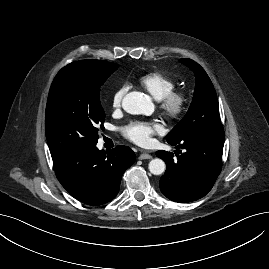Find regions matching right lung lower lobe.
I'll return each mask as SVG.
<instances>
[{"mask_svg":"<svg viewBox=\"0 0 269 269\" xmlns=\"http://www.w3.org/2000/svg\"><path fill=\"white\" fill-rule=\"evenodd\" d=\"M135 159L127 146L106 153L93 145L53 159V164L59 182L74 198L97 206L116 197L122 175Z\"/></svg>","mask_w":269,"mask_h":269,"instance_id":"right-lung-lower-lobe-1","label":"right lung lower lobe"}]
</instances>
